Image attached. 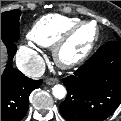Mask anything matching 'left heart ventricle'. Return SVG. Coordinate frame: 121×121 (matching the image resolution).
<instances>
[{
  "instance_id": "b2bd125f",
  "label": "left heart ventricle",
  "mask_w": 121,
  "mask_h": 121,
  "mask_svg": "<svg viewBox=\"0 0 121 121\" xmlns=\"http://www.w3.org/2000/svg\"><path fill=\"white\" fill-rule=\"evenodd\" d=\"M95 35L96 29L92 25L80 28L63 48V58L70 59L82 54L91 44Z\"/></svg>"
}]
</instances>
